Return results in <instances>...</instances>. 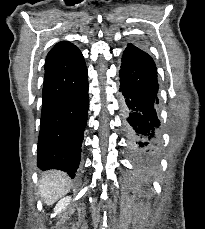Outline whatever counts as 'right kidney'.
<instances>
[{"label":"right kidney","mask_w":205,"mask_h":229,"mask_svg":"<svg viewBox=\"0 0 205 229\" xmlns=\"http://www.w3.org/2000/svg\"><path fill=\"white\" fill-rule=\"evenodd\" d=\"M71 197H66L61 199L55 206L54 211L56 213H61L63 210L66 209L67 205L69 204Z\"/></svg>","instance_id":"ca27d5eb"}]
</instances>
